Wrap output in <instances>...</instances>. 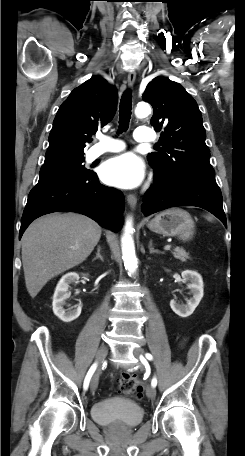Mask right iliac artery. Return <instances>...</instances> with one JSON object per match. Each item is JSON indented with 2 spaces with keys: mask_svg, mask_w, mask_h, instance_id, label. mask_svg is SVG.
Returning <instances> with one entry per match:
<instances>
[{
  "mask_svg": "<svg viewBox=\"0 0 245 456\" xmlns=\"http://www.w3.org/2000/svg\"><path fill=\"white\" fill-rule=\"evenodd\" d=\"M96 368H97V363H94V364L90 367V369H89V371H88V373H87V375H86V377H85V379H84V384H83L84 390H87V389H88L89 383H90V380H91V377H92V375L94 374Z\"/></svg>",
  "mask_w": 245,
  "mask_h": 456,
  "instance_id": "82829eb1",
  "label": "right iliac artery"
}]
</instances>
